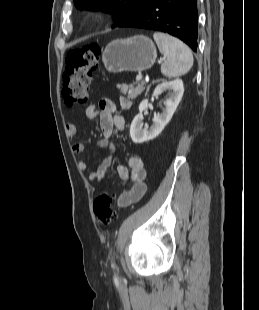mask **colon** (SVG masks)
Segmentation results:
<instances>
[{
	"label": "colon",
	"mask_w": 259,
	"mask_h": 310,
	"mask_svg": "<svg viewBox=\"0 0 259 310\" xmlns=\"http://www.w3.org/2000/svg\"><path fill=\"white\" fill-rule=\"evenodd\" d=\"M101 47L90 43L68 52L64 73L63 99L67 104H85L89 98L93 72L98 68ZM113 196L100 193L93 202V211L103 225L116 220L113 209Z\"/></svg>",
	"instance_id": "colon-1"
}]
</instances>
